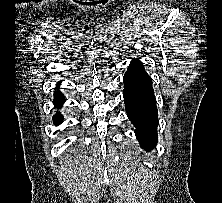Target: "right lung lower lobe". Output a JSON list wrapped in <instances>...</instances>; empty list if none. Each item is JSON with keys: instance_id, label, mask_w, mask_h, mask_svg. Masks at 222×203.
Here are the masks:
<instances>
[{"instance_id": "right-lung-lower-lobe-1", "label": "right lung lower lobe", "mask_w": 222, "mask_h": 203, "mask_svg": "<svg viewBox=\"0 0 222 203\" xmlns=\"http://www.w3.org/2000/svg\"><path fill=\"white\" fill-rule=\"evenodd\" d=\"M56 88H59V84H57ZM64 103V96L59 92H55V100H54V104L57 108L61 107L62 104ZM62 121V116L60 114H56L54 116V122L55 124H60Z\"/></svg>"}]
</instances>
